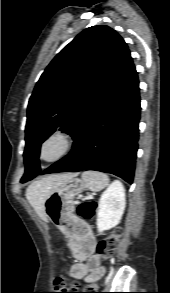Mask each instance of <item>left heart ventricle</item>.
Returning a JSON list of instances; mask_svg holds the SVG:
<instances>
[{
	"instance_id": "b2bd125f",
	"label": "left heart ventricle",
	"mask_w": 170,
	"mask_h": 293,
	"mask_svg": "<svg viewBox=\"0 0 170 293\" xmlns=\"http://www.w3.org/2000/svg\"><path fill=\"white\" fill-rule=\"evenodd\" d=\"M54 151H55V147H54V146H50V147L47 149V154H52Z\"/></svg>"
}]
</instances>
